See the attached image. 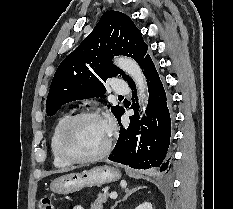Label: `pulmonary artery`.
Listing matches in <instances>:
<instances>
[{
	"mask_svg": "<svg viewBox=\"0 0 233 209\" xmlns=\"http://www.w3.org/2000/svg\"><path fill=\"white\" fill-rule=\"evenodd\" d=\"M113 90L117 94H127L130 91L129 86L126 82L121 79L115 78L113 84Z\"/></svg>",
	"mask_w": 233,
	"mask_h": 209,
	"instance_id": "e3ab8cb5",
	"label": "pulmonary artery"
}]
</instances>
